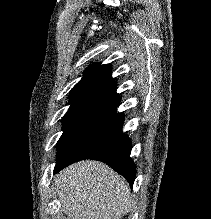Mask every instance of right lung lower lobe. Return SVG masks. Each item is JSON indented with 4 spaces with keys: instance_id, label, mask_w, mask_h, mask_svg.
Wrapping results in <instances>:
<instances>
[{
    "instance_id": "98d812e1",
    "label": "right lung lower lobe",
    "mask_w": 211,
    "mask_h": 219,
    "mask_svg": "<svg viewBox=\"0 0 211 219\" xmlns=\"http://www.w3.org/2000/svg\"><path fill=\"white\" fill-rule=\"evenodd\" d=\"M123 121V113L112 114L57 162L54 172L83 159H94L108 164L133 185L136 166L130 158L131 140L122 132Z\"/></svg>"
}]
</instances>
